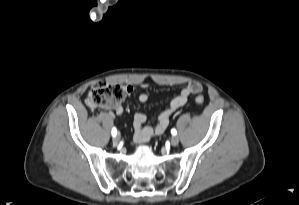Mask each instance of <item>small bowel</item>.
Here are the masks:
<instances>
[{"instance_id": "c3829d8e", "label": "small bowel", "mask_w": 299, "mask_h": 205, "mask_svg": "<svg viewBox=\"0 0 299 205\" xmlns=\"http://www.w3.org/2000/svg\"><path fill=\"white\" fill-rule=\"evenodd\" d=\"M201 85L198 82H189L184 88L175 96L168 106L158 115L157 123L154 127L145 125L147 122V116L142 112H136L133 117V138L137 143H146L150 141L154 136L163 134L169 126L170 118L174 112L183 107L188 98L197 94L201 91ZM127 94L131 95L133 93L132 86H126ZM150 99L148 93H141L138 96V101L140 103H146ZM116 114L121 115L124 111L122 105L113 107Z\"/></svg>"}]
</instances>
